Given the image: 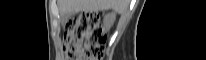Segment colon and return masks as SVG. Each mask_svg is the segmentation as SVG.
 <instances>
[{"instance_id":"obj_1","label":"colon","mask_w":206,"mask_h":60,"mask_svg":"<svg viewBox=\"0 0 206 60\" xmlns=\"http://www.w3.org/2000/svg\"><path fill=\"white\" fill-rule=\"evenodd\" d=\"M105 36L99 16L87 13L70 20L65 29L63 50L66 60H100L104 56Z\"/></svg>"}]
</instances>
